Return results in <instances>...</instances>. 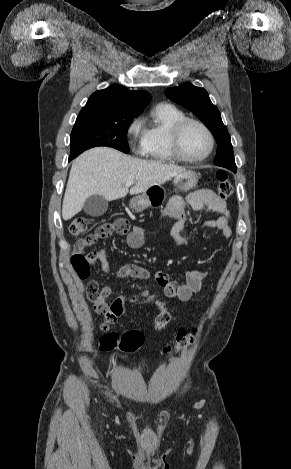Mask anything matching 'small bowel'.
Wrapping results in <instances>:
<instances>
[{
  "mask_svg": "<svg viewBox=\"0 0 291 469\" xmlns=\"http://www.w3.org/2000/svg\"><path fill=\"white\" fill-rule=\"evenodd\" d=\"M186 206H190L195 211L218 213V218L207 219L202 224V227L217 229L220 231L223 238H230L232 234L230 228V215L225 202L217 198L211 190L202 189L190 193L186 198H182L180 196L172 197L166 208L162 211L164 216L176 219V222L171 228V236L176 245H188L192 243L197 232V230H192L189 235L183 234L184 227L188 221ZM101 227L105 230L103 238H106L115 232L126 236L127 245L131 249H139L144 244L142 228L139 226L131 227L129 221L124 218H119L112 223H105L101 225ZM87 256L92 260L93 264L98 263L102 271L108 274H113V270L107 261V252L105 249L91 252ZM207 274V271L202 269L187 271L185 273V280L181 283L170 281L168 275L161 271L155 273L154 277L157 284L163 288L164 293H166L169 298H176L179 301L186 302L191 299L193 294L198 293L201 290L202 282ZM114 275L117 278L131 277L145 279L150 276V273L147 269L141 266L125 264L120 267ZM110 294L111 289L109 287L98 289L96 298L92 300L94 310L97 313L103 314L104 311L111 307L107 302ZM150 300L151 297L148 291L127 296V301L129 302L128 306L140 305Z\"/></svg>",
  "mask_w": 291,
  "mask_h": 469,
  "instance_id": "c3829d8e",
  "label": "small bowel"
}]
</instances>
